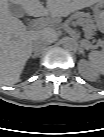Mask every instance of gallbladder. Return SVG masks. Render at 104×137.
Returning <instances> with one entry per match:
<instances>
[{"label": "gallbladder", "instance_id": "gallbladder-1", "mask_svg": "<svg viewBox=\"0 0 104 137\" xmlns=\"http://www.w3.org/2000/svg\"><path fill=\"white\" fill-rule=\"evenodd\" d=\"M9 10L12 15L16 17H24L25 16V10L23 9L22 6L18 4L11 3L9 4Z\"/></svg>", "mask_w": 104, "mask_h": 137}]
</instances>
